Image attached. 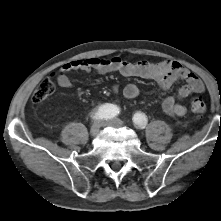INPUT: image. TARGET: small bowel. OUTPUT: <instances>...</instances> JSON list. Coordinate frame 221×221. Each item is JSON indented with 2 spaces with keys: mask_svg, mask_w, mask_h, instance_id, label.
<instances>
[{
  "mask_svg": "<svg viewBox=\"0 0 221 221\" xmlns=\"http://www.w3.org/2000/svg\"><path fill=\"white\" fill-rule=\"evenodd\" d=\"M96 72L106 75L118 72L127 77H139L156 82L162 90H167L177 81H184L176 96H168L162 102L165 114L172 117H181L187 113V106L181 100L192 93H203L205 87L198 76L184 68L181 64L172 61L152 62L148 60L128 61L121 57L110 59L88 58L65 63L56 76L57 84L62 88H71L72 81L69 74L72 72ZM115 92L121 91L126 99H134L139 94L135 84H128L121 90L114 87Z\"/></svg>",
  "mask_w": 221,
  "mask_h": 221,
  "instance_id": "c3829d8e",
  "label": "small bowel"
}]
</instances>
